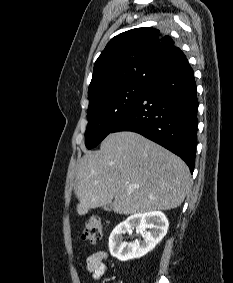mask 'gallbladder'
I'll list each match as a JSON object with an SVG mask.
<instances>
[{
  "label": "gallbladder",
  "mask_w": 233,
  "mask_h": 283,
  "mask_svg": "<svg viewBox=\"0 0 233 283\" xmlns=\"http://www.w3.org/2000/svg\"><path fill=\"white\" fill-rule=\"evenodd\" d=\"M104 209H105L106 211H110V210L112 209V204H111V203L106 204V205L104 206Z\"/></svg>",
  "instance_id": "1"
}]
</instances>
